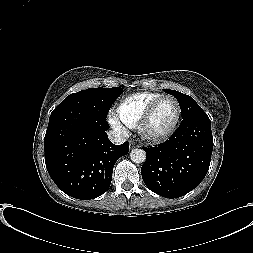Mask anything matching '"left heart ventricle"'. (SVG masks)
<instances>
[{
	"label": "left heart ventricle",
	"mask_w": 253,
	"mask_h": 253,
	"mask_svg": "<svg viewBox=\"0 0 253 253\" xmlns=\"http://www.w3.org/2000/svg\"><path fill=\"white\" fill-rule=\"evenodd\" d=\"M175 117L176 105L173 100H162L154 112L148 131L153 134L165 132L173 124Z\"/></svg>",
	"instance_id": "b2bd125f"
}]
</instances>
